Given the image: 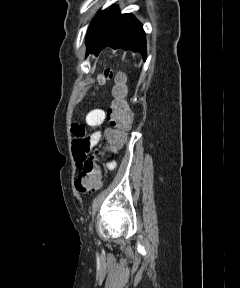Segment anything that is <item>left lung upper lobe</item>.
<instances>
[{
	"instance_id": "5c2ea615",
	"label": "left lung upper lobe",
	"mask_w": 240,
	"mask_h": 288,
	"mask_svg": "<svg viewBox=\"0 0 240 288\" xmlns=\"http://www.w3.org/2000/svg\"><path fill=\"white\" fill-rule=\"evenodd\" d=\"M105 12H100L95 19L91 22L90 28H89V32L86 38V41L88 40V38L90 37V35L92 34V32L94 31V29L96 28V26L98 25L100 19L102 18V16L104 15Z\"/></svg>"
}]
</instances>
